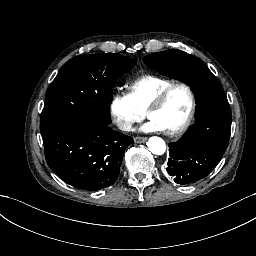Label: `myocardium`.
<instances>
[{
    "mask_svg": "<svg viewBox=\"0 0 256 256\" xmlns=\"http://www.w3.org/2000/svg\"><path fill=\"white\" fill-rule=\"evenodd\" d=\"M175 85H179L187 91L189 98H190V109H189V112H188L186 118L182 121V123L180 125H178L177 127H175L173 130H171L170 132H168L169 135H175V134L183 132L188 127L190 121L194 117L196 104H195V97H194V94H193L190 86L184 80L177 79L174 84L169 85L167 88H165L162 91V93L158 96V98L146 110L147 116L152 117V111L163 105L170 90Z\"/></svg>",
    "mask_w": 256,
    "mask_h": 256,
    "instance_id": "1",
    "label": "myocardium"
}]
</instances>
